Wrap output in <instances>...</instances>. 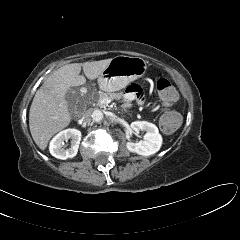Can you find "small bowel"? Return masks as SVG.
Here are the masks:
<instances>
[{
    "instance_id": "1",
    "label": "small bowel",
    "mask_w": 240,
    "mask_h": 240,
    "mask_svg": "<svg viewBox=\"0 0 240 240\" xmlns=\"http://www.w3.org/2000/svg\"><path fill=\"white\" fill-rule=\"evenodd\" d=\"M124 100L127 103H130L134 100H137L138 102L143 101V91L140 86L136 84H131L126 88L125 94H124Z\"/></svg>"
}]
</instances>
